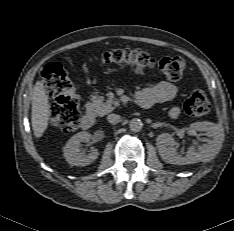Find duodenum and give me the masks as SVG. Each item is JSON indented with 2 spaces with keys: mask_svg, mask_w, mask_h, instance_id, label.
Returning a JSON list of instances; mask_svg holds the SVG:
<instances>
[{
  "mask_svg": "<svg viewBox=\"0 0 234 231\" xmlns=\"http://www.w3.org/2000/svg\"><path fill=\"white\" fill-rule=\"evenodd\" d=\"M136 102L139 106L143 107V108H149L150 107V103L145 100V99H141L139 96L136 95ZM95 124V116L91 111L86 112L81 120V126L83 129L88 130L90 128H92Z\"/></svg>",
  "mask_w": 234,
  "mask_h": 231,
  "instance_id": "1",
  "label": "duodenum"
}]
</instances>
